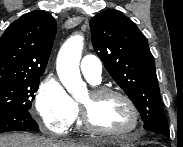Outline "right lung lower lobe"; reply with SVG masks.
<instances>
[{"label":"right lung lower lobe","mask_w":183,"mask_h":147,"mask_svg":"<svg viewBox=\"0 0 183 147\" xmlns=\"http://www.w3.org/2000/svg\"><path fill=\"white\" fill-rule=\"evenodd\" d=\"M39 129L38 124L31 117L28 110H14L0 113V133L8 131Z\"/></svg>","instance_id":"1"}]
</instances>
